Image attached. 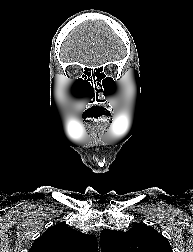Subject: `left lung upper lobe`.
Listing matches in <instances>:
<instances>
[{"mask_svg":"<svg viewBox=\"0 0 193 252\" xmlns=\"http://www.w3.org/2000/svg\"><path fill=\"white\" fill-rule=\"evenodd\" d=\"M100 241L102 252H173L169 241L145 224L135 225L127 232L104 229Z\"/></svg>","mask_w":193,"mask_h":252,"instance_id":"left-lung-upper-lobe-1","label":"left lung upper lobe"}]
</instances>
